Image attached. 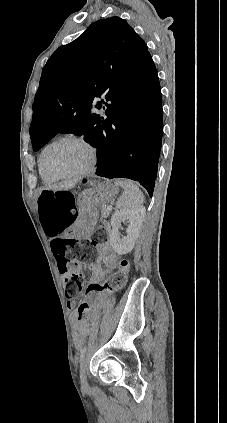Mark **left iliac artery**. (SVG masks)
Instances as JSON below:
<instances>
[{
  "mask_svg": "<svg viewBox=\"0 0 227 423\" xmlns=\"http://www.w3.org/2000/svg\"><path fill=\"white\" fill-rule=\"evenodd\" d=\"M86 351H87V347H84V348L81 349V351H80V359H82L85 356Z\"/></svg>",
  "mask_w": 227,
  "mask_h": 423,
  "instance_id": "left-iliac-artery-1",
  "label": "left iliac artery"
}]
</instances>
